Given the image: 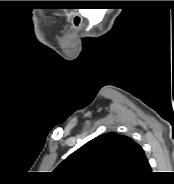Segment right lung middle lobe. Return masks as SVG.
Returning <instances> with one entry per match:
<instances>
[{"instance_id":"right-lung-middle-lobe-1","label":"right lung middle lobe","mask_w":174,"mask_h":184,"mask_svg":"<svg viewBox=\"0 0 174 184\" xmlns=\"http://www.w3.org/2000/svg\"><path fill=\"white\" fill-rule=\"evenodd\" d=\"M121 183H123V182H120V183H115V184H121Z\"/></svg>"}]
</instances>
